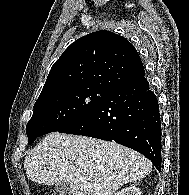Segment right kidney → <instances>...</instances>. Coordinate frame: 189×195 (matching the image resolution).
Returning <instances> with one entry per match:
<instances>
[{
	"label": "right kidney",
	"mask_w": 189,
	"mask_h": 195,
	"mask_svg": "<svg viewBox=\"0 0 189 195\" xmlns=\"http://www.w3.org/2000/svg\"><path fill=\"white\" fill-rule=\"evenodd\" d=\"M115 195H141L140 189L137 188L135 185H131L129 187L123 188Z\"/></svg>",
	"instance_id": "obj_1"
}]
</instances>
